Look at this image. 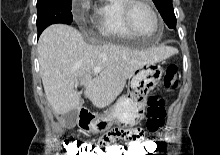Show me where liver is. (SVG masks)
Returning <instances> with one entry per match:
<instances>
[{"label": "liver", "instance_id": "6515ba94", "mask_svg": "<svg viewBox=\"0 0 220 155\" xmlns=\"http://www.w3.org/2000/svg\"><path fill=\"white\" fill-rule=\"evenodd\" d=\"M37 51L46 99L56 115L77 108L80 96L74 90L75 84L85 86V95L95 107L104 108L117 98L126 80L138 69L174 54L169 47L133 50L113 44H87L77 29L64 24L46 28ZM95 67L102 70L92 79Z\"/></svg>", "mask_w": 220, "mask_h": 155}]
</instances>
